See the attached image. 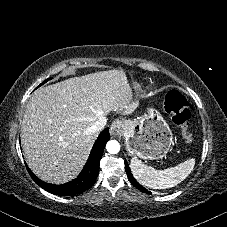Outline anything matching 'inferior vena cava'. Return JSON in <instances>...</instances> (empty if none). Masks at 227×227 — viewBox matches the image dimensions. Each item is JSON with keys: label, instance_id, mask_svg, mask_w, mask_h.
I'll return each mask as SVG.
<instances>
[{"label": "inferior vena cava", "instance_id": "1", "mask_svg": "<svg viewBox=\"0 0 227 227\" xmlns=\"http://www.w3.org/2000/svg\"><path fill=\"white\" fill-rule=\"evenodd\" d=\"M106 123L107 119L104 116H102L93 124L92 129L94 131H100L105 127Z\"/></svg>", "mask_w": 227, "mask_h": 227}]
</instances>
